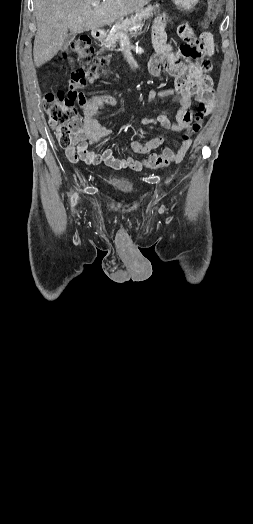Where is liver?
I'll use <instances>...</instances> for the list:
<instances>
[{
  "label": "liver",
  "instance_id": "6515ba94",
  "mask_svg": "<svg viewBox=\"0 0 253 524\" xmlns=\"http://www.w3.org/2000/svg\"><path fill=\"white\" fill-rule=\"evenodd\" d=\"M99 5L93 7L92 3ZM150 0H34L37 32L33 57L36 67L50 61L61 49L68 31L83 33L142 9Z\"/></svg>",
  "mask_w": 253,
  "mask_h": 524
}]
</instances>
